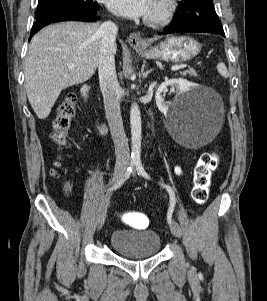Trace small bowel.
<instances>
[{"mask_svg":"<svg viewBox=\"0 0 267 301\" xmlns=\"http://www.w3.org/2000/svg\"><path fill=\"white\" fill-rule=\"evenodd\" d=\"M175 172H176L178 175H180V174H181V169H180V167L176 166V167H175Z\"/></svg>","mask_w":267,"mask_h":301,"instance_id":"obj_1","label":"small bowel"}]
</instances>
